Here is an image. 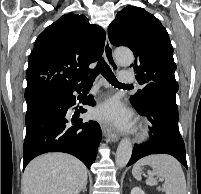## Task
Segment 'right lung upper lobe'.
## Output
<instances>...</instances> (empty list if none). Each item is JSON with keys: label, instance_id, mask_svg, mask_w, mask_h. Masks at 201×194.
<instances>
[{"label": "right lung upper lobe", "instance_id": "obj_1", "mask_svg": "<svg viewBox=\"0 0 201 194\" xmlns=\"http://www.w3.org/2000/svg\"><path fill=\"white\" fill-rule=\"evenodd\" d=\"M105 34L84 15L66 14L36 39L26 71L27 88H75L103 53ZM82 83L79 84V82Z\"/></svg>", "mask_w": 201, "mask_h": 194}]
</instances>
